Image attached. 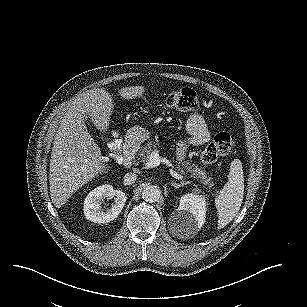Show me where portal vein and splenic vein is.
Returning <instances> with one entry per match:
<instances>
[{"label": "portal vein and splenic vein", "mask_w": 307, "mask_h": 307, "mask_svg": "<svg viewBox=\"0 0 307 307\" xmlns=\"http://www.w3.org/2000/svg\"><path fill=\"white\" fill-rule=\"evenodd\" d=\"M160 151L158 149H155L154 151L151 152L149 155V163L151 166H157L160 164ZM172 175L175 178H180V175L177 174L175 171L172 172Z\"/></svg>", "instance_id": "portal-vein-and-splenic-vein-1"}]
</instances>
